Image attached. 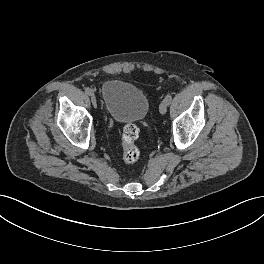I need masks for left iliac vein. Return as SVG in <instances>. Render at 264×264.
<instances>
[{
	"instance_id": "4c4485c4",
	"label": "left iliac vein",
	"mask_w": 264,
	"mask_h": 264,
	"mask_svg": "<svg viewBox=\"0 0 264 264\" xmlns=\"http://www.w3.org/2000/svg\"><path fill=\"white\" fill-rule=\"evenodd\" d=\"M167 107H168V103L163 100L161 103H160V106H159V112L164 115L167 111Z\"/></svg>"
}]
</instances>
